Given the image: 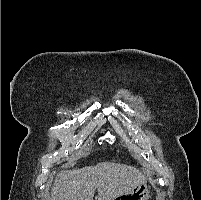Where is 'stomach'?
I'll use <instances>...</instances> for the list:
<instances>
[{
	"instance_id": "0dacf381",
	"label": "stomach",
	"mask_w": 201,
	"mask_h": 200,
	"mask_svg": "<svg viewBox=\"0 0 201 200\" xmlns=\"http://www.w3.org/2000/svg\"><path fill=\"white\" fill-rule=\"evenodd\" d=\"M148 198H149V189L146 183H142L133 187L126 193L117 196L113 200H148Z\"/></svg>"
}]
</instances>
